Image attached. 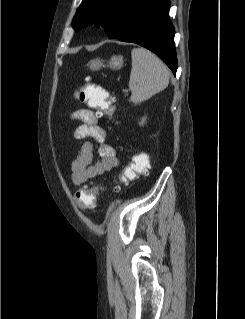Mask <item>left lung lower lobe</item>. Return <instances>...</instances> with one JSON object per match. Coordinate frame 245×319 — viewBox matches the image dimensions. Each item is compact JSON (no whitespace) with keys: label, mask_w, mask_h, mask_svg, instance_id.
I'll use <instances>...</instances> for the list:
<instances>
[{"label":"left lung lower lobe","mask_w":245,"mask_h":319,"mask_svg":"<svg viewBox=\"0 0 245 319\" xmlns=\"http://www.w3.org/2000/svg\"><path fill=\"white\" fill-rule=\"evenodd\" d=\"M170 0H145L127 18L116 39L139 44L159 56L175 74L177 57Z\"/></svg>","instance_id":"left-lung-lower-lobe-1"}]
</instances>
